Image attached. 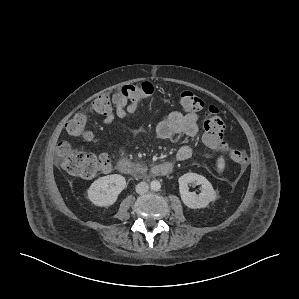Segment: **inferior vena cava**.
<instances>
[{"mask_svg": "<svg viewBox=\"0 0 299 299\" xmlns=\"http://www.w3.org/2000/svg\"><path fill=\"white\" fill-rule=\"evenodd\" d=\"M148 189H149V185L146 182H140L136 186V192L138 194H144L148 191Z\"/></svg>", "mask_w": 299, "mask_h": 299, "instance_id": "obj_1", "label": "inferior vena cava"}]
</instances>
